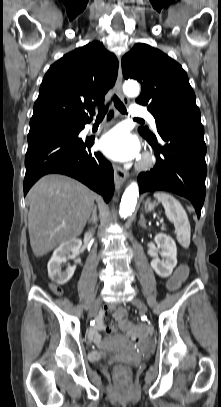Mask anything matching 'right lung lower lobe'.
I'll return each mask as SVG.
<instances>
[{
  "label": "right lung lower lobe",
  "instance_id": "98d812e1",
  "mask_svg": "<svg viewBox=\"0 0 221 407\" xmlns=\"http://www.w3.org/2000/svg\"><path fill=\"white\" fill-rule=\"evenodd\" d=\"M85 124H80V131ZM78 134L58 131L28 136L24 195L43 175L60 173L81 181L101 194L106 202L110 200L114 192L112 165L101 153L90 151L94 140H83Z\"/></svg>",
  "mask_w": 221,
  "mask_h": 407
}]
</instances>
